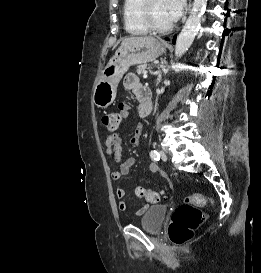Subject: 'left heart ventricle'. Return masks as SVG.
Instances as JSON below:
<instances>
[{
  "label": "left heart ventricle",
  "instance_id": "1",
  "mask_svg": "<svg viewBox=\"0 0 261 273\" xmlns=\"http://www.w3.org/2000/svg\"><path fill=\"white\" fill-rule=\"evenodd\" d=\"M154 21L160 25H168L173 22L167 0H154L152 4Z\"/></svg>",
  "mask_w": 261,
  "mask_h": 273
}]
</instances>
